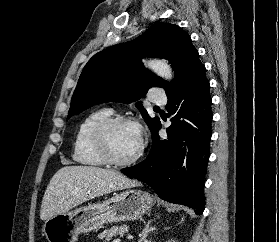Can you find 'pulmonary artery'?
Here are the masks:
<instances>
[{"mask_svg":"<svg viewBox=\"0 0 279 242\" xmlns=\"http://www.w3.org/2000/svg\"><path fill=\"white\" fill-rule=\"evenodd\" d=\"M150 100L155 104L164 105L167 101V98L165 93L161 89L153 87Z\"/></svg>","mask_w":279,"mask_h":242,"instance_id":"obj_1","label":"pulmonary artery"}]
</instances>
